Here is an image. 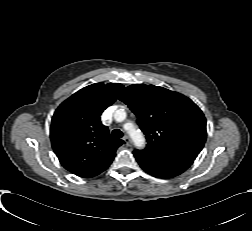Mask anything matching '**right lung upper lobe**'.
Wrapping results in <instances>:
<instances>
[{
  "label": "right lung upper lobe",
  "mask_w": 252,
  "mask_h": 231,
  "mask_svg": "<svg viewBox=\"0 0 252 231\" xmlns=\"http://www.w3.org/2000/svg\"><path fill=\"white\" fill-rule=\"evenodd\" d=\"M123 85L95 83L65 100L55 111L50 137L60 163L79 177L91 178L112 163L124 141L110 137L100 115L112 105Z\"/></svg>",
  "instance_id": "obj_1"
}]
</instances>
